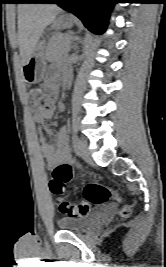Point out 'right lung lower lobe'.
<instances>
[{
	"label": "right lung lower lobe",
	"mask_w": 166,
	"mask_h": 267,
	"mask_svg": "<svg viewBox=\"0 0 166 267\" xmlns=\"http://www.w3.org/2000/svg\"><path fill=\"white\" fill-rule=\"evenodd\" d=\"M47 0H26V3H44Z\"/></svg>",
	"instance_id": "98d812e1"
}]
</instances>
